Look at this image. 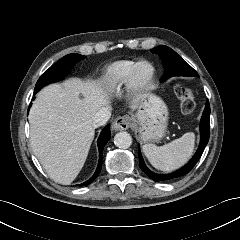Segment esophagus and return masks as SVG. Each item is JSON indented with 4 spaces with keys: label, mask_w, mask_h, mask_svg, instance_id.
Returning a JSON list of instances; mask_svg holds the SVG:
<instances>
[{
    "label": "esophagus",
    "mask_w": 240,
    "mask_h": 240,
    "mask_svg": "<svg viewBox=\"0 0 240 240\" xmlns=\"http://www.w3.org/2000/svg\"><path fill=\"white\" fill-rule=\"evenodd\" d=\"M131 124L129 116L117 117L112 123V129L115 131L127 130Z\"/></svg>",
    "instance_id": "34e87169"
}]
</instances>
